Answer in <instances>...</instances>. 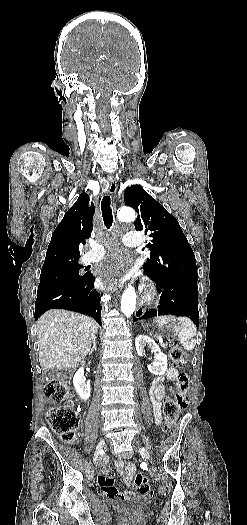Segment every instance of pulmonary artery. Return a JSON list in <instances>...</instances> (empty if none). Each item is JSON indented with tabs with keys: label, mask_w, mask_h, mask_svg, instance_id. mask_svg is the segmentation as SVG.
Returning a JSON list of instances; mask_svg holds the SVG:
<instances>
[{
	"label": "pulmonary artery",
	"mask_w": 247,
	"mask_h": 525,
	"mask_svg": "<svg viewBox=\"0 0 247 525\" xmlns=\"http://www.w3.org/2000/svg\"><path fill=\"white\" fill-rule=\"evenodd\" d=\"M123 243L130 248H138L144 244V236H124L122 239ZM98 254H101V251H98ZM101 260V257L96 256V251L91 249L89 252H86L80 259V261H96Z\"/></svg>",
	"instance_id": "obj_1"
}]
</instances>
